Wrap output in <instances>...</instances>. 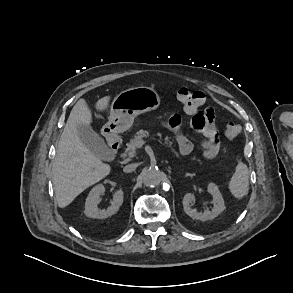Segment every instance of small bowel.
<instances>
[{
	"label": "small bowel",
	"mask_w": 293,
	"mask_h": 293,
	"mask_svg": "<svg viewBox=\"0 0 293 293\" xmlns=\"http://www.w3.org/2000/svg\"><path fill=\"white\" fill-rule=\"evenodd\" d=\"M192 115V129L194 133L203 135V139L198 143L202 150V156L206 160H212L218 155L220 149L215 113L213 109L207 108L198 115ZM163 126L175 135L178 151L181 154L187 155L193 151L195 143L184 134L179 113H174L168 121L163 122Z\"/></svg>",
	"instance_id": "c3829d8e"
}]
</instances>
